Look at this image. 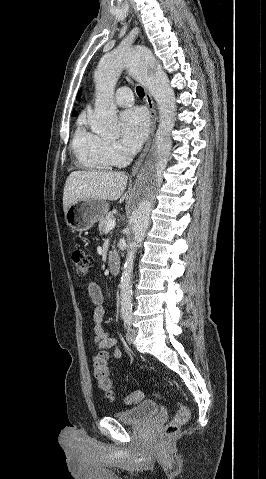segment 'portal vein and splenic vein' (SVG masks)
Returning <instances> with one entry per match:
<instances>
[{"mask_svg":"<svg viewBox=\"0 0 266 479\" xmlns=\"http://www.w3.org/2000/svg\"><path fill=\"white\" fill-rule=\"evenodd\" d=\"M115 225H116L115 220H110L106 225L105 231H109V230L113 229L115 227Z\"/></svg>","mask_w":266,"mask_h":479,"instance_id":"18ae733b","label":"portal vein and splenic vein"}]
</instances>
